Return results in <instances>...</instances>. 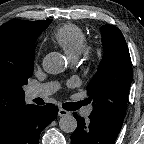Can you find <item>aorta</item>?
<instances>
[{"label": "aorta", "mask_w": 144, "mask_h": 144, "mask_svg": "<svg viewBox=\"0 0 144 144\" xmlns=\"http://www.w3.org/2000/svg\"><path fill=\"white\" fill-rule=\"evenodd\" d=\"M43 68L49 74L63 72L65 62L63 56L58 52H51L43 59ZM59 127L65 133H73L77 128V120L71 114H65L59 120Z\"/></svg>", "instance_id": "obj_1"}]
</instances>
